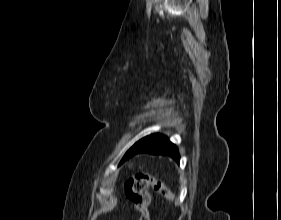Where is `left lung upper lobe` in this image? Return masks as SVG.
<instances>
[{"label":"left lung upper lobe","mask_w":281,"mask_h":220,"mask_svg":"<svg viewBox=\"0 0 281 220\" xmlns=\"http://www.w3.org/2000/svg\"><path fill=\"white\" fill-rule=\"evenodd\" d=\"M154 135H150L147 137L142 138L141 140H139L138 142H136L128 151L127 153L124 155V157L122 158L120 164H122L125 160L129 159L130 156L134 153V151L136 149H138L139 147H141L142 145H144L146 142H148Z\"/></svg>","instance_id":"obj_1"}]
</instances>
